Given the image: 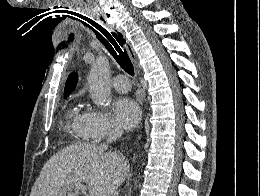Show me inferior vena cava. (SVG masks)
<instances>
[{
    "mask_svg": "<svg viewBox=\"0 0 260 196\" xmlns=\"http://www.w3.org/2000/svg\"><path fill=\"white\" fill-rule=\"evenodd\" d=\"M121 134H122L121 130H114V132L110 134L106 144H102V146H100V150H102V152H105L106 148H108L107 144H111V142H115V140H118ZM114 196H118L117 190H115Z\"/></svg>",
    "mask_w": 260,
    "mask_h": 196,
    "instance_id": "1",
    "label": "inferior vena cava"
}]
</instances>
